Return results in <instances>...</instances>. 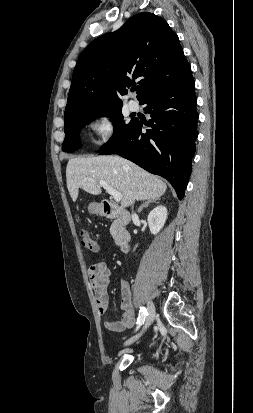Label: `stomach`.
I'll use <instances>...</instances> for the list:
<instances>
[{"mask_svg": "<svg viewBox=\"0 0 253 413\" xmlns=\"http://www.w3.org/2000/svg\"><path fill=\"white\" fill-rule=\"evenodd\" d=\"M88 210L91 214H101L102 213V208L99 204L97 203H91L88 206Z\"/></svg>", "mask_w": 253, "mask_h": 413, "instance_id": "stomach-1", "label": "stomach"}]
</instances>
